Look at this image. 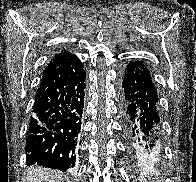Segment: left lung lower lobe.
<instances>
[{
  "label": "left lung lower lobe",
  "mask_w": 196,
  "mask_h": 182,
  "mask_svg": "<svg viewBox=\"0 0 196 182\" xmlns=\"http://www.w3.org/2000/svg\"><path fill=\"white\" fill-rule=\"evenodd\" d=\"M122 87V117L133 154L140 159L159 156V103L150 71L141 61H130Z\"/></svg>",
  "instance_id": "0a47b994"
}]
</instances>
